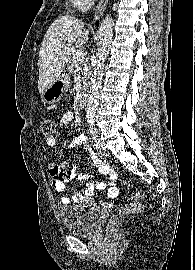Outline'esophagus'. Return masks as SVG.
<instances>
[{"mask_svg":"<svg viewBox=\"0 0 195 270\" xmlns=\"http://www.w3.org/2000/svg\"><path fill=\"white\" fill-rule=\"evenodd\" d=\"M108 2H109V0H100L99 4L97 6L96 12H95V18H97V17L99 18L102 16V14L104 13V11L107 8Z\"/></svg>","mask_w":195,"mask_h":270,"instance_id":"1","label":"esophagus"}]
</instances>
